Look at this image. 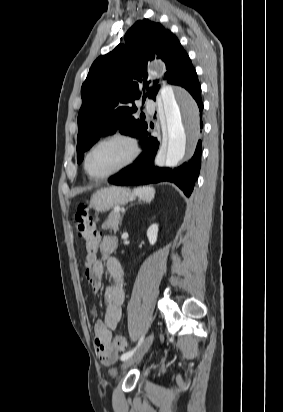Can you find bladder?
Returning a JSON list of instances; mask_svg holds the SVG:
<instances>
[{
	"instance_id": "1",
	"label": "bladder",
	"mask_w": 283,
	"mask_h": 412,
	"mask_svg": "<svg viewBox=\"0 0 283 412\" xmlns=\"http://www.w3.org/2000/svg\"><path fill=\"white\" fill-rule=\"evenodd\" d=\"M118 370H119L118 367H112V368L110 369V373H111L112 375H116V374L118 373Z\"/></svg>"
}]
</instances>
